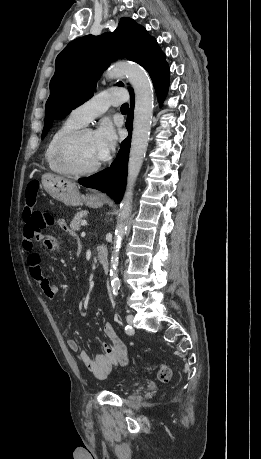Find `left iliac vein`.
<instances>
[{
	"label": "left iliac vein",
	"instance_id": "1",
	"mask_svg": "<svg viewBox=\"0 0 261 459\" xmlns=\"http://www.w3.org/2000/svg\"><path fill=\"white\" fill-rule=\"evenodd\" d=\"M133 319H134L133 315H127L126 317L127 323L131 326L133 325Z\"/></svg>",
	"mask_w": 261,
	"mask_h": 459
}]
</instances>
